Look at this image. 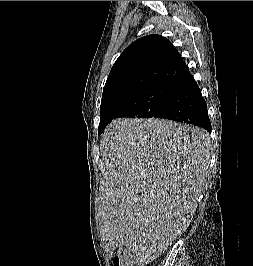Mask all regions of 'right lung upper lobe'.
Instances as JSON below:
<instances>
[{
	"label": "right lung upper lobe",
	"instance_id": "right-lung-upper-lobe-1",
	"mask_svg": "<svg viewBox=\"0 0 253 266\" xmlns=\"http://www.w3.org/2000/svg\"><path fill=\"white\" fill-rule=\"evenodd\" d=\"M188 67L169 40L149 35L131 43L114 63L103 89L101 104L121 94L185 76Z\"/></svg>",
	"mask_w": 253,
	"mask_h": 266
}]
</instances>
